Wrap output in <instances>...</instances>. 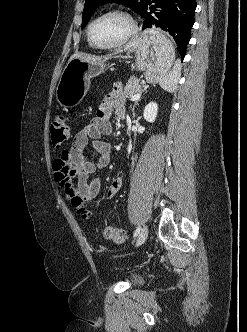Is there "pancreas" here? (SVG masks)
I'll list each match as a JSON object with an SVG mask.
<instances>
[{
	"instance_id": "1",
	"label": "pancreas",
	"mask_w": 247,
	"mask_h": 332,
	"mask_svg": "<svg viewBox=\"0 0 247 332\" xmlns=\"http://www.w3.org/2000/svg\"><path fill=\"white\" fill-rule=\"evenodd\" d=\"M143 91V86L140 85L139 80L135 77H132L126 83L124 88V95L127 98H131L137 93H141Z\"/></svg>"
}]
</instances>
